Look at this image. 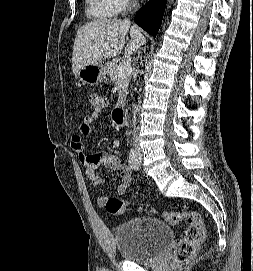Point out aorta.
I'll use <instances>...</instances> for the list:
<instances>
[{
    "label": "aorta",
    "mask_w": 253,
    "mask_h": 271,
    "mask_svg": "<svg viewBox=\"0 0 253 271\" xmlns=\"http://www.w3.org/2000/svg\"><path fill=\"white\" fill-rule=\"evenodd\" d=\"M169 2H173V0H169Z\"/></svg>",
    "instance_id": "1"
}]
</instances>
